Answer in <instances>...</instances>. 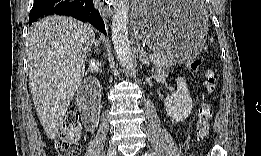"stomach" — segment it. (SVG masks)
Here are the masks:
<instances>
[{"label":"stomach","mask_w":261,"mask_h":156,"mask_svg":"<svg viewBox=\"0 0 261 156\" xmlns=\"http://www.w3.org/2000/svg\"><path fill=\"white\" fill-rule=\"evenodd\" d=\"M132 17L136 36L176 62L193 60L204 45L208 17L198 2H137Z\"/></svg>","instance_id":"1"}]
</instances>
